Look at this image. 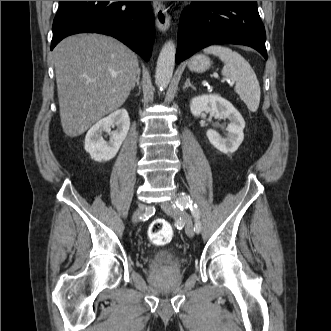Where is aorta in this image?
Wrapping results in <instances>:
<instances>
[{"label":"aorta","instance_id":"aorta-1","mask_svg":"<svg viewBox=\"0 0 331 331\" xmlns=\"http://www.w3.org/2000/svg\"><path fill=\"white\" fill-rule=\"evenodd\" d=\"M175 52V44L171 40L167 41L160 51L155 73V82L160 88H166L171 81L175 65Z\"/></svg>","mask_w":331,"mask_h":331}]
</instances>
